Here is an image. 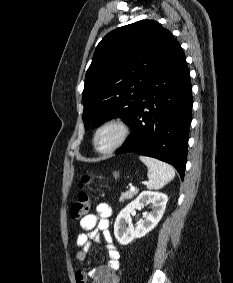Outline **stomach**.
Masks as SVG:
<instances>
[{
	"label": "stomach",
	"mask_w": 233,
	"mask_h": 283,
	"mask_svg": "<svg viewBox=\"0 0 233 283\" xmlns=\"http://www.w3.org/2000/svg\"><path fill=\"white\" fill-rule=\"evenodd\" d=\"M113 175H114L115 178H118L119 177V172H114Z\"/></svg>",
	"instance_id": "obj_1"
}]
</instances>
